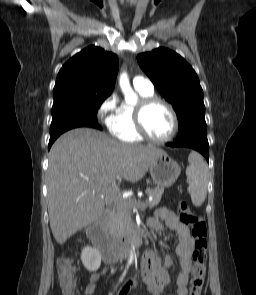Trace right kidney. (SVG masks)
I'll list each match as a JSON object with an SVG mask.
<instances>
[{
    "label": "right kidney",
    "mask_w": 256,
    "mask_h": 295,
    "mask_svg": "<svg viewBox=\"0 0 256 295\" xmlns=\"http://www.w3.org/2000/svg\"><path fill=\"white\" fill-rule=\"evenodd\" d=\"M81 261L88 271H97L101 266V254L97 249L86 246L82 250Z\"/></svg>",
    "instance_id": "ca27d5eb"
}]
</instances>
